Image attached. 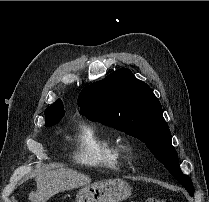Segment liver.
I'll return each mask as SVG.
<instances>
[{
	"label": "liver",
	"mask_w": 209,
	"mask_h": 202,
	"mask_svg": "<svg viewBox=\"0 0 209 202\" xmlns=\"http://www.w3.org/2000/svg\"><path fill=\"white\" fill-rule=\"evenodd\" d=\"M35 181L37 189L29 193V200L46 202L57 193L89 185L91 178L72 169L60 168L36 176Z\"/></svg>",
	"instance_id": "1"
}]
</instances>
